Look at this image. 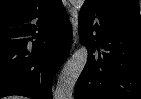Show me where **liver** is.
<instances>
[{"label":"liver","mask_w":141,"mask_h":99,"mask_svg":"<svg viewBox=\"0 0 141 99\" xmlns=\"http://www.w3.org/2000/svg\"><path fill=\"white\" fill-rule=\"evenodd\" d=\"M11 99H25V98L15 96V97H12Z\"/></svg>","instance_id":"1"}]
</instances>
